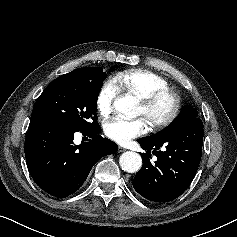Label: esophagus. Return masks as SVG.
I'll return each instance as SVG.
<instances>
[{"mask_svg": "<svg viewBox=\"0 0 237 237\" xmlns=\"http://www.w3.org/2000/svg\"><path fill=\"white\" fill-rule=\"evenodd\" d=\"M118 151L119 152H124V151H126V149L124 147H122V146H119Z\"/></svg>", "mask_w": 237, "mask_h": 237, "instance_id": "esophagus-1", "label": "esophagus"}]
</instances>
